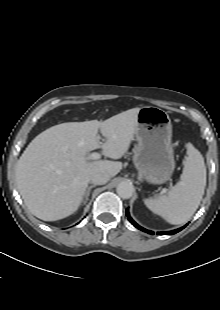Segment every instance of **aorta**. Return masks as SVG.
Here are the masks:
<instances>
[{
  "label": "aorta",
  "mask_w": 220,
  "mask_h": 310,
  "mask_svg": "<svg viewBox=\"0 0 220 310\" xmlns=\"http://www.w3.org/2000/svg\"><path fill=\"white\" fill-rule=\"evenodd\" d=\"M116 191H117V194L121 198L129 199L133 195L134 187H133L132 183L127 182V181H123V182L118 184Z\"/></svg>",
  "instance_id": "obj_1"
}]
</instances>
